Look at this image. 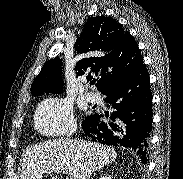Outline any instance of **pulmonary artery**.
<instances>
[{"label":"pulmonary artery","mask_w":183,"mask_h":179,"mask_svg":"<svg viewBox=\"0 0 183 179\" xmlns=\"http://www.w3.org/2000/svg\"><path fill=\"white\" fill-rule=\"evenodd\" d=\"M87 98L92 103H100L102 100L101 96L98 93L93 91L87 93Z\"/></svg>","instance_id":"e3ab8cb5"}]
</instances>
